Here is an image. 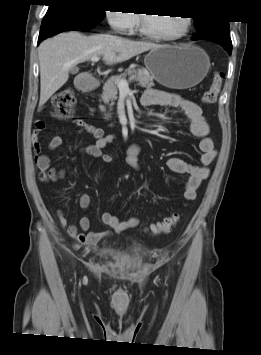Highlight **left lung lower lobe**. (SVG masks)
Returning a JSON list of instances; mask_svg holds the SVG:
<instances>
[{
  "label": "left lung lower lobe",
  "instance_id": "0a47b994",
  "mask_svg": "<svg viewBox=\"0 0 261 355\" xmlns=\"http://www.w3.org/2000/svg\"><path fill=\"white\" fill-rule=\"evenodd\" d=\"M215 42V41H214ZM216 43H218V42H216ZM219 45H221L222 47H224L226 50H227V52L229 53V55H231V52H232V44L231 45H229V44H224V43H218Z\"/></svg>",
  "mask_w": 261,
  "mask_h": 355
}]
</instances>
